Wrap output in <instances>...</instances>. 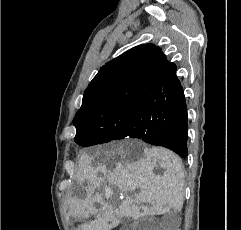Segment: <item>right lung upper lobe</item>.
<instances>
[{
	"label": "right lung upper lobe",
	"mask_w": 241,
	"mask_h": 230,
	"mask_svg": "<svg viewBox=\"0 0 241 230\" xmlns=\"http://www.w3.org/2000/svg\"><path fill=\"white\" fill-rule=\"evenodd\" d=\"M170 64L154 44L136 46L109 61L85 90L73 124L100 121L115 109L152 103L159 95Z\"/></svg>",
	"instance_id": "obj_1"
}]
</instances>
